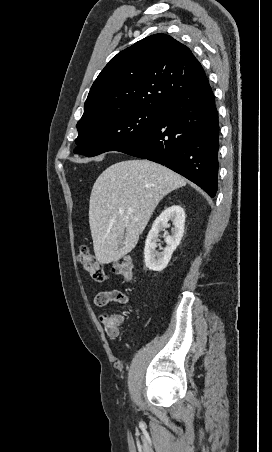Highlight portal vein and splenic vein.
Segmentation results:
<instances>
[{"instance_id":"18ae733b","label":"portal vein and splenic vein","mask_w":272,"mask_h":452,"mask_svg":"<svg viewBox=\"0 0 272 452\" xmlns=\"http://www.w3.org/2000/svg\"><path fill=\"white\" fill-rule=\"evenodd\" d=\"M127 211H128L129 213H132V212H133V207H129V208L127 209Z\"/></svg>"}]
</instances>
